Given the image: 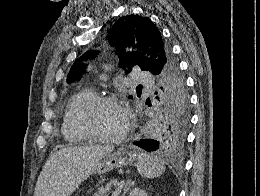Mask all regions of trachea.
<instances>
[{
    "label": "trachea",
    "mask_w": 260,
    "mask_h": 196,
    "mask_svg": "<svg viewBox=\"0 0 260 196\" xmlns=\"http://www.w3.org/2000/svg\"><path fill=\"white\" fill-rule=\"evenodd\" d=\"M136 88H143V86L142 85H138Z\"/></svg>",
    "instance_id": "trachea-1"
}]
</instances>
